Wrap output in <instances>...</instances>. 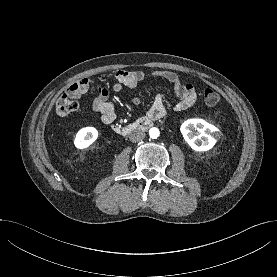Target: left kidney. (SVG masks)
<instances>
[{
    "label": "left kidney",
    "mask_w": 277,
    "mask_h": 277,
    "mask_svg": "<svg viewBox=\"0 0 277 277\" xmlns=\"http://www.w3.org/2000/svg\"><path fill=\"white\" fill-rule=\"evenodd\" d=\"M194 129L197 132H194ZM180 131L188 145L198 152L208 151L216 144L220 136L219 130L214 125L203 119H189L182 123Z\"/></svg>",
    "instance_id": "obj_1"
}]
</instances>
